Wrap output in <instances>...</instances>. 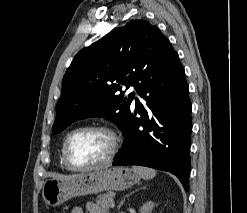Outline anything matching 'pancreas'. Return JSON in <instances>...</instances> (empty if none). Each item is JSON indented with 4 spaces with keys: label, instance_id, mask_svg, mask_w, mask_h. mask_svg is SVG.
<instances>
[{
    "label": "pancreas",
    "instance_id": "pancreas-1",
    "mask_svg": "<svg viewBox=\"0 0 247 213\" xmlns=\"http://www.w3.org/2000/svg\"><path fill=\"white\" fill-rule=\"evenodd\" d=\"M113 200V193L107 192L105 194H101L96 198V203L99 208L102 209L103 213H107L110 202Z\"/></svg>",
    "mask_w": 247,
    "mask_h": 213
}]
</instances>
